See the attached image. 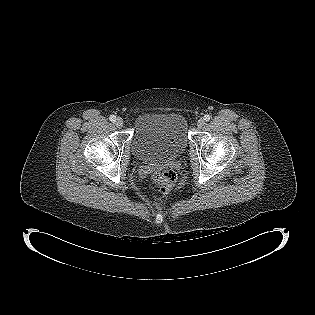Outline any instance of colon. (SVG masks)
I'll list each match as a JSON object with an SVG mask.
<instances>
[{"instance_id": "1", "label": "colon", "mask_w": 315, "mask_h": 315, "mask_svg": "<svg viewBox=\"0 0 315 315\" xmlns=\"http://www.w3.org/2000/svg\"><path fill=\"white\" fill-rule=\"evenodd\" d=\"M177 176L172 170H165L159 173L155 178V186L163 194L167 195L173 189Z\"/></svg>"}]
</instances>
